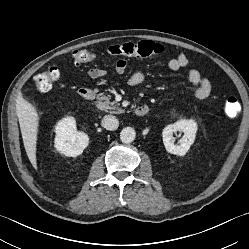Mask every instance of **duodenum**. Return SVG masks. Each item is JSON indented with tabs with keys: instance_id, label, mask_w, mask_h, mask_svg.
Returning a JSON list of instances; mask_svg holds the SVG:
<instances>
[{
	"instance_id": "obj_1",
	"label": "duodenum",
	"mask_w": 249,
	"mask_h": 249,
	"mask_svg": "<svg viewBox=\"0 0 249 249\" xmlns=\"http://www.w3.org/2000/svg\"><path fill=\"white\" fill-rule=\"evenodd\" d=\"M78 94L81 99L86 100V101H90L94 98V92L90 88H85V87L80 88L78 90ZM148 110L149 108L147 105L141 104L135 108V114L139 117L145 116L148 113Z\"/></svg>"
}]
</instances>
